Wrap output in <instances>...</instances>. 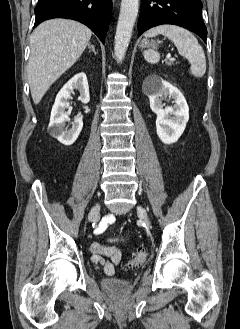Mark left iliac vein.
Instances as JSON below:
<instances>
[{"label": "left iliac vein", "instance_id": "1", "mask_svg": "<svg viewBox=\"0 0 240 329\" xmlns=\"http://www.w3.org/2000/svg\"><path fill=\"white\" fill-rule=\"evenodd\" d=\"M137 211L139 215L144 219V221L147 223L148 226H151V223L149 221V218L147 216L146 210L142 206L137 207Z\"/></svg>", "mask_w": 240, "mask_h": 329}]
</instances>
